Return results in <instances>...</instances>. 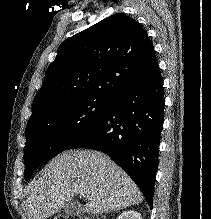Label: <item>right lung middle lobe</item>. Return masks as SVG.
<instances>
[{"instance_id":"obj_1","label":"right lung middle lobe","mask_w":211,"mask_h":219,"mask_svg":"<svg viewBox=\"0 0 211 219\" xmlns=\"http://www.w3.org/2000/svg\"><path fill=\"white\" fill-rule=\"evenodd\" d=\"M110 102L98 97L82 98L29 120L24 150L25 180L93 127L105 114Z\"/></svg>"}]
</instances>
